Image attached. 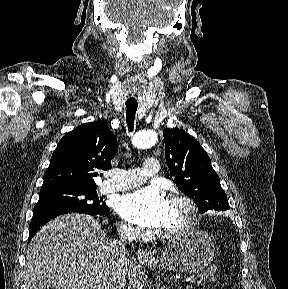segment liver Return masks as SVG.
<instances>
[{
	"mask_svg": "<svg viewBox=\"0 0 288 289\" xmlns=\"http://www.w3.org/2000/svg\"><path fill=\"white\" fill-rule=\"evenodd\" d=\"M110 242L92 216L71 213L54 218L29 243L28 289H94L97 274L110 260ZM129 263L127 259L118 287L125 284Z\"/></svg>",
	"mask_w": 288,
	"mask_h": 289,
	"instance_id": "1",
	"label": "liver"
}]
</instances>
